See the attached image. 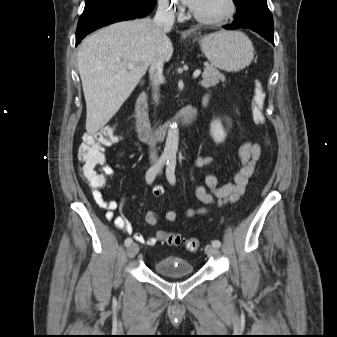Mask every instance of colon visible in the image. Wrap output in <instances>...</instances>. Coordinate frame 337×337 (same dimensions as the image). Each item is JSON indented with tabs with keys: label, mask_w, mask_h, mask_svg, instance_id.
Instances as JSON below:
<instances>
[{
	"label": "colon",
	"mask_w": 337,
	"mask_h": 337,
	"mask_svg": "<svg viewBox=\"0 0 337 337\" xmlns=\"http://www.w3.org/2000/svg\"><path fill=\"white\" fill-rule=\"evenodd\" d=\"M266 92L261 82L253 84L252 117L257 125L265 124L264 104ZM118 140V134L112 128H104L94 133H85L78 147V160L82 176L92 188L99 189L105 185L103 166L105 164V148ZM159 241L171 246H184L188 251H196L200 241L194 237H184L178 233L158 231Z\"/></svg>",
	"instance_id": "colon-1"
}]
</instances>
